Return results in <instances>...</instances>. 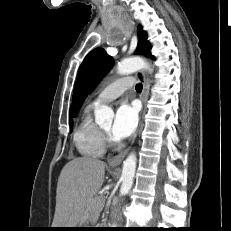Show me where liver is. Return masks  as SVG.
<instances>
[{
	"label": "liver",
	"instance_id": "liver-1",
	"mask_svg": "<svg viewBox=\"0 0 231 231\" xmlns=\"http://www.w3.org/2000/svg\"><path fill=\"white\" fill-rule=\"evenodd\" d=\"M105 163L80 157L62 169L56 190L52 228H76L92 216V200L104 182Z\"/></svg>",
	"mask_w": 231,
	"mask_h": 231
}]
</instances>
